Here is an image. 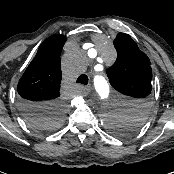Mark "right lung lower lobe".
<instances>
[{
  "mask_svg": "<svg viewBox=\"0 0 174 174\" xmlns=\"http://www.w3.org/2000/svg\"><path fill=\"white\" fill-rule=\"evenodd\" d=\"M20 108L24 116L29 119L37 114L47 112L52 106L57 103H33L29 101L20 100Z\"/></svg>",
  "mask_w": 174,
  "mask_h": 174,
  "instance_id": "1",
  "label": "right lung lower lobe"
}]
</instances>
